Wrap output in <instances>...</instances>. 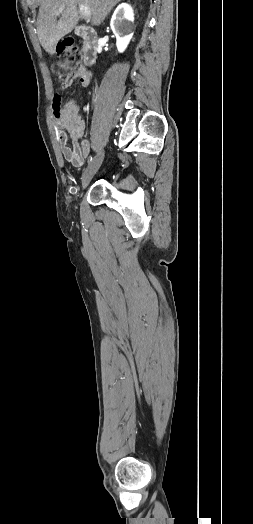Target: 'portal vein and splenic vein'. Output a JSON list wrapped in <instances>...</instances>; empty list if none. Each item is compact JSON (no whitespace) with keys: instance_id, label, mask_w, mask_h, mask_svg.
<instances>
[{"instance_id":"18ae733b","label":"portal vein and splenic vein","mask_w":253,"mask_h":524,"mask_svg":"<svg viewBox=\"0 0 253 524\" xmlns=\"http://www.w3.org/2000/svg\"><path fill=\"white\" fill-rule=\"evenodd\" d=\"M79 11L81 12L82 16L85 18L91 17V10L90 7L84 4H79Z\"/></svg>"}]
</instances>
